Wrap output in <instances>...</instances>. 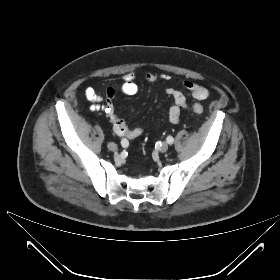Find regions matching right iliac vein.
Listing matches in <instances>:
<instances>
[{
	"label": "right iliac vein",
	"instance_id": "63e3f726",
	"mask_svg": "<svg viewBox=\"0 0 280 280\" xmlns=\"http://www.w3.org/2000/svg\"><path fill=\"white\" fill-rule=\"evenodd\" d=\"M107 147L111 151H116L118 149L117 145L114 143H108Z\"/></svg>",
	"mask_w": 280,
	"mask_h": 280
}]
</instances>
